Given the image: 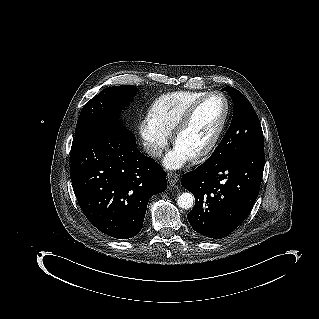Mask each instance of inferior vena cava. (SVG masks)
Returning <instances> with one entry per match:
<instances>
[{
    "label": "inferior vena cava",
    "mask_w": 319,
    "mask_h": 319,
    "mask_svg": "<svg viewBox=\"0 0 319 319\" xmlns=\"http://www.w3.org/2000/svg\"><path fill=\"white\" fill-rule=\"evenodd\" d=\"M143 150L151 157H161L162 155V148L157 144H153L150 142H145L143 144Z\"/></svg>",
    "instance_id": "obj_1"
}]
</instances>
